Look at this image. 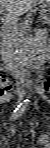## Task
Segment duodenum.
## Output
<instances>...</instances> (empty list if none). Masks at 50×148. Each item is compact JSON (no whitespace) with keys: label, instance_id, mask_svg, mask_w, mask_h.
Masks as SVG:
<instances>
[{"label":"duodenum","instance_id":"duodenum-1","mask_svg":"<svg viewBox=\"0 0 50 148\" xmlns=\"http://www.w3.org/2000/svg\"><path fill=\"white\" fill-rule=\"evenodd\" d=\"M46 59H47V55L45 53H42L38 55L26 56L23 59V62L30 68H33L34 66L37 65V69H38L39 66L46 61Z\"/></svg>","mask_w":50,"mask_h":148}]
</instances>
